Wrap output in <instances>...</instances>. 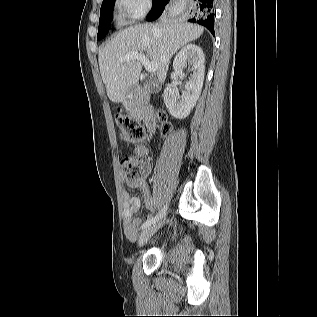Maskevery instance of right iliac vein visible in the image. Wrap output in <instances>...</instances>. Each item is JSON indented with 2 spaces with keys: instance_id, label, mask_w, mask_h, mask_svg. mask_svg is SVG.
<instances>
[{
  "instance_id": "1",
  "label": "right iliac vein",
  "mask_w": 317,
  "mask_h": 317,
  "mask_svg": "<svg viewBox=\"0 0 317 317\" xmlns=\"http://www.w3.org/2000/svg\"><path fill=\"white\" fill-rule=\"evenodd\" d=\"M163 224V221H159L157 223H154L153 225L147 227L140 235L139 240H138V245L142 246L144 245L153 234L157 232V230L161 227Z\"/></svg>"
}]
</instances>
